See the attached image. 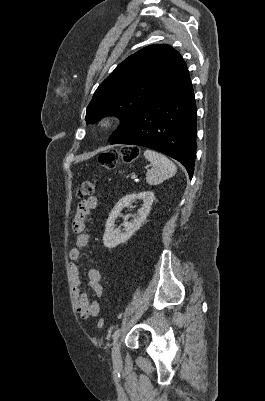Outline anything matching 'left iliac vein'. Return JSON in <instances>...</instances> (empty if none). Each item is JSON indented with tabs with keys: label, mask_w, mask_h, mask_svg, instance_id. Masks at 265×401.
<instances>
[{
	"label": "left iliac vein",
	"mask_w": 265,
	"mask_h": 401,
	"mask_svg": "<svg viewBox=\"0 0 265 401\" xmlns=\"http://www.w3.org/2000/svg\"><path fill=\"white\" fill-rule=\"evenodd\" d=\"M112 359L114 364H119L121 361V355H120V342L116 341L113 346L112 350Z\"/></svg>",
	"instance_id": "4c4485c4"
}]
</instances>
